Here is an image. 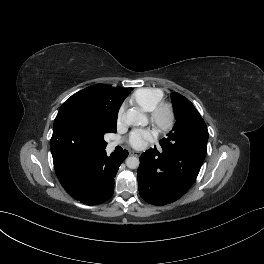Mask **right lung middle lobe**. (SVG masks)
Segmentation results:
<instances>
[{"mask_svg":"<svg viewBox=\"0 0 264 264\" xmlns=\"http://www.w3.org/2000/svg\"><path fill=\"white\" fill-rule=\"evenodd\" d=\"M117 111L98 91L83 89L60 108L54 122L53 137L62 149L82 154L106 148V133H115Z\"/></svg>","mask_w":264,"mask_h":264,"instance_id":"obj_1","label":"right lung middle lobe"}]
</instances>
